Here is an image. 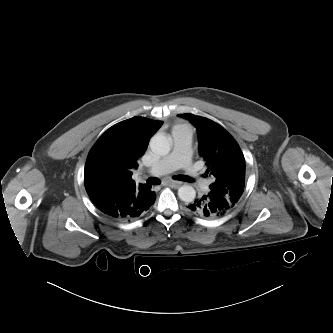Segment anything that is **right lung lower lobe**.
<instances>
[{"label": "right lung lower lobe", "instance_id": "1", "mask_svg": "<svg viewBox=\"0 0 333 333\" xmlns=\"http://www.w3.org/2000/svg\"><path fill=\"white\" fill-rule=\"evenodd\" d=\"M140 198L133 202L119 197H103L92 201L105 215L119 221H127L145 213L154 203L156 194L150 188Z\"/></svg>", "mask_w": 333, "mask_h": 333}]
</instances>
